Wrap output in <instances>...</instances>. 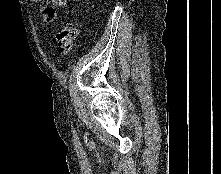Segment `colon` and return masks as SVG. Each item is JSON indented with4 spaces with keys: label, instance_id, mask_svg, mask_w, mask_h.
I'll return each instance as SVG.
<instances>
[{
    "label": "colon",
    "instance_id": "obj_1",
    "mask_svg": "<svg viewBox=\"0 0 221 174\" xmlns=\"http://www.w3.org/2000/svg\"><path fill=\"white\" fill-rule=\"evenodd\" d=\"M77 35L78 26L76 22L72 20L65 21L60 30L55 34V41L61 54L66 55L72 50Z\"/></svg>",
    "mask_w": 221,
    "mask_h": 174
}]
</instances>
